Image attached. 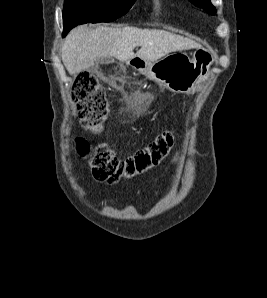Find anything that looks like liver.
Segmentation results:
<instances>
[{
  "instance_id": "6515ba94",
  "label": "liver",
  "mask_w": 267,
  "mask_h": 298,
  "mask_svg": "<svg viewBox=\"0 0 267 298\" xmlns=\"http://www.w3.org/2000/svg\"><path fill=\"white\" fill-rule=\"evenodd\" d=\"M135 47H141L135 54ZM201 48L195 41L165 30L136 27L111 28L80 26L66 37L62 61L70 75L77 74L103 58L114 57L128 62L138 57L155 62L175 51Z\"/></svg>"
}]
</instances>
